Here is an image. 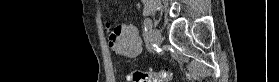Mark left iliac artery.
<instances>
[{
  "label": "left iliac artery",
  "mask_w": 279,
  "mask_h": 82,
  "mask_svg": "<svg viewBox=\"0 0 279 82\" xmlns=\"http://www.w3.org/2000/svg\"><path fill=\"white\" fill-rule=\"evenodd\" d=\"M151 27H152V22L149 18H146L144 20V31H143V36L145 39V42L147 43L150 36H151Z\"/></svg>",
  "instance_id": "obj_1"
}]
</instances>
